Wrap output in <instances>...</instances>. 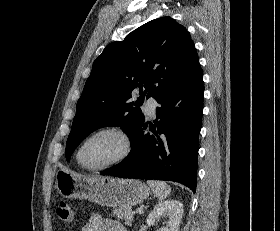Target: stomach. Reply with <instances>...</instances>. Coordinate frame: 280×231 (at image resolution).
<instances>
[{
	"instance_id": "obj_1",
	"label": "stomach",
	"mask_w": 280,
	"mask_h": 231,
	"mask_svg": "<svg viewBox=\"0 0 280 231\" xmlns=\"http://www.w3.org/2000/svg\"><path fill=\"white\" fill-rule=\"evenodd\" d=\"M55 183L62 197L89 199L107 207H130L142 203L151 193L139 179L82 175L66 167L56 171Z\"/></svg>"
}]
</instances>
